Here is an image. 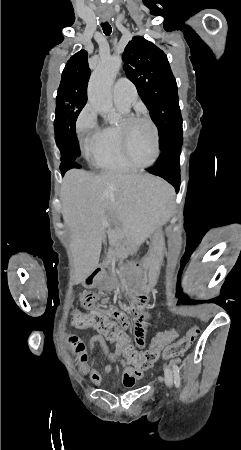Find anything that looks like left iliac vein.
<instances>
[{
	"mask_svg": "<svg viewBox=\"0 0 241 450\" xmlns=\"http://www.w3.org/2000/svg\"><path fill=\"white\" fill-rule=\"evenodd\" d=\"M164 378L166 385L168 388H172L173 386V376L169 366H165L164 368Z\"/></svg>",
	"mask_w": 241,
	"mask_h": 450,
	"instance_id": "1",
	"label": "left iliac vein"
}]
</instances>
